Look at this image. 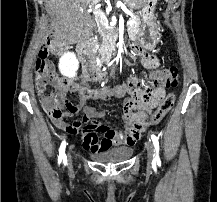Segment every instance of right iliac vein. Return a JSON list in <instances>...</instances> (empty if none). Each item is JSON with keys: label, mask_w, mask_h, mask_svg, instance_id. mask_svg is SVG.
Masks as SVG:
<instances>
[{"label": "right iliac vein", "mask_w": 217, "mask_h": 202, "mask_svg": "<svg viewBox=\"0 0 217 202\" xmlns=\"http://www.w3.org/2000/svg\"><path fill=\"white\" fill-rule=\"evenodd\" d=\"M67 158H68V163H69V165H71L72 157H71L70 151L68 152Z\"/></svg>", "instance_id": "right-iliac-vein-1"}]
</instances>
